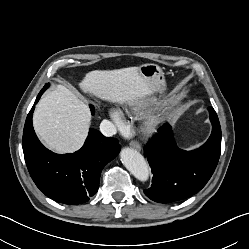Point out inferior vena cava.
Returning <instances> with one entry per match:
<instances>
[{
    "label": "inferior vena cava",
    "instance_id": "obj_1",
    "mask_svg": "<svg viewBox=\"0 0 249 249\" xmlns=\"http://www.w3.org/2000/svg\"><path fill=\"white\" fill-rule=\"evenodd\" d=\"M100 131L104 136L111 137L117 133V128L109 120H103L100 124Z\"/></svg>",
    "mask_w": 249,
    "mask_h": 249
}]
</instances>
